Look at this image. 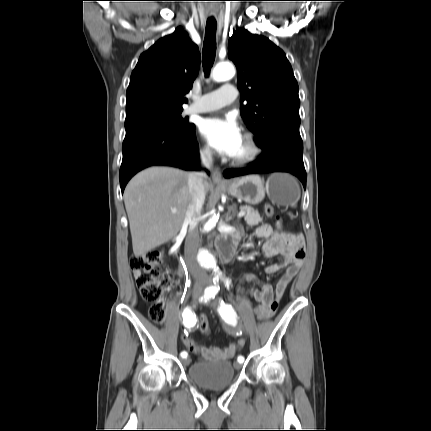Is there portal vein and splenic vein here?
<instances>
[{"label":"portal vein and splenic vein","mask_w":431,"mask_h":431,"mask_svg":"<svg viewBox=\"0 0 431 431\" xmlns=\"http://www.w3.org/2000/svg\"><path fill=\"white\" fill-rule=\"evenodd\" d=\"M171 212L172 213H176L177 211H176V209H172L171 210ZM245 215V211H243V210H241L239 213H238V217H242V216H244Z\"/></svg>","instance_id":"1"}]
</instances>
